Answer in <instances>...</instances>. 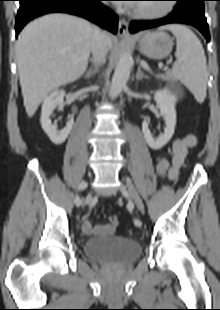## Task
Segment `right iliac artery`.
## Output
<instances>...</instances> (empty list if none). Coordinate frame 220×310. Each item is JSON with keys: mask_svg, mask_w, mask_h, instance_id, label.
Segmentation results:
<instances>
[{"mask_svg": "<svg viewBox=\"0 0 220 310\" xmlns=\"http://www.w3.org/2000/svg\"><path fill=\"white\" fill-rule=\"evenodd\" d=\"M87 187V183L86 182H81L80 184H79V186H78V190L79 191H81V190H83V189H85ZM75 204L77 205V206H80L81 205V199H80V197L78 196V195H76V197H75Z\"/></svg>", "mask_w": 220, "mask_h": 310, "instance_id": "obj_1", "label": "right iliac artery"}]
</instances>
